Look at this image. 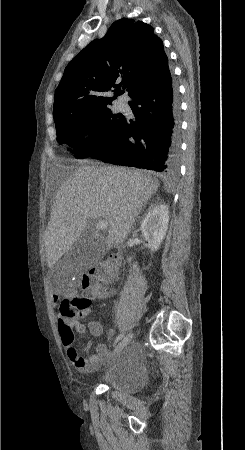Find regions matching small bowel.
Masks as SVG:
<instances>
[{
    "label": "small bowel",
    "instance_id": "1",
    "mask_svg": "<svg viewBox=\"0 0 245 450\" xmlns=\"http://www.w3.org/2000/svg\"><path fill=\"white\" fill-rule=\"evenodd\" d=\"M115 290L113 288H109L104 287V288H98L95 287L93 290H91L89 293L86 294V298L88 299H102V298H109L114 294ZM59 300V297L57 296H53L52 297V302L54 304H56ZM78 307V315L81 319H83L84 321H86V327L87 329L95 336H100L103 332V327L102 325L94 320L92 318V309L88 306L87 308H81L77 305ZM83 328L81 327V330ZM114 331L111 330L110 333H113ZM64 345L67 347V354L68 357L70 358V360L78 367H84V366H90L93 364H96L97 362H99L100 358H102L103 356H105L107 354V349L105 348V346L103 344H98L97 345V353L92 354L88 359H83L79 356V352L78 349L76 347V345L74 344V340L66 343L64 342ZM91 342H88L85 347L83 348V350H87L89 349V347L91 346ZM80 361H81V365H80Z\"/></svg>",
    "mask_w": 245,
    "mask_h": 450
}]
</instances>
